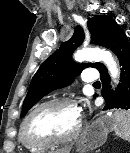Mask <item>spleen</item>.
<instances>
[{"instance_id":"spleen-1","label":"spleen","mask_w":130,"mask_h":153,"mask_svg":"<svg viewBox=\"0 0 130 153\" xmlns=\"http://www.w3.org/2000/svg\"><path fill=\"white\" fill-rule=\"evenodd\" d=\"M114 116L116 135L130 142V111H115Z\"/></svg>"}]
</instances>
